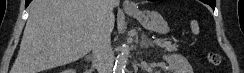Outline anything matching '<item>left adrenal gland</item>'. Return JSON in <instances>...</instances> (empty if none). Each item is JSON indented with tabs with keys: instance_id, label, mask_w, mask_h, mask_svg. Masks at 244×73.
Instances as JSON below:
<instances>
[{
	"instance_id": "1",
	"label": "left adrenal gland",
	"mask_w": 244,
	"mask_h": 73,
	"mask_svg": "<svg viewBox=\"0 0 244 73\" xmlns=\"http://www.w3.org/2000/svg\"><path fill=\"white\" fill-rule=\"evenodd\" d=\"M148 46L153 47V42L150 41L147 36L143 33L140 41V47L141 48H147Z\"/></svg>"
}]
</instances>
